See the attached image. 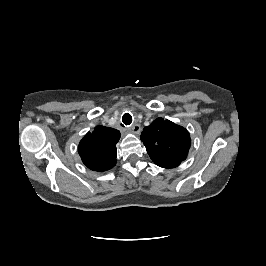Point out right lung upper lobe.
<instances>
[{"label": "right lung upper lobe", "instance_id": "cb5924a9", "mask_svg": "<svg viewBox=\"0 0 266 266\" xmlns=\"http://www.w3.org/2000/svg\"><path fill=\"white\" fill-rule=\"evenodd\" d=\"M120 132L116 129L97 126L88 132L78 146L83 163L91 170L104 172L116 164V144Z\"/></svg>", "mask_w": 266, "mask_h": 266}]
</instances>
